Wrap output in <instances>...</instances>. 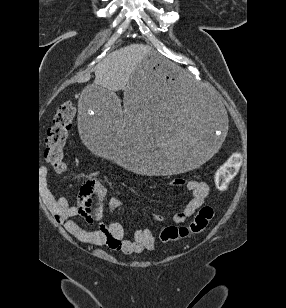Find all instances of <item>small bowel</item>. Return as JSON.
Returning <instances> with one entry per match:
<instances>
[{"label":"small bowel","instance_id":"obj_1","mask_svg":"<svg viewBox=\"0 0 286 308\" xmlns=\"http://www.w3.org/2000/svg\"><path fill=\"white\" fill-rule=\"evenodd\" d=\"M173 184L177 186L185 185L192 194L184 209L173 216V222L181 224L186 222L203 205L209 194V186L204 181L185 180L183 178L175 179ZM104 194L105 188L102 183L96 179H91L81 186L76 205H71L65 197L52 194L49 206L58 221L81 241L93 245H104L124 254H135L143 250L154 249L156 238L149 229H136L132 240L124 237L123 225L115 216L116 211L122 206V201L117 197L110 198L108 202L109 223L102 224L99 229L88 230L73 219L81 216L89 224L96 219H100L103 215L102 201ZM155 219L157 221L164 220L161 215H156Z\"/></svg>","mask_w":286,"mask_h":308}]
</instances>
